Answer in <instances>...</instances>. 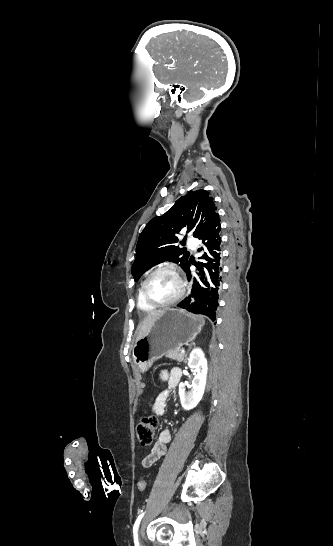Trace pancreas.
<instances>
[{"mask_svg":"<svg viewBox=\"0 0 333 546\" xmlns=\"http://www.w3.org/2000/svg\"><path fill=\"white\" fill-rule=\"evenodd\" d=\"M180 350H181L180 348L172 350L166 354V357L170 358L171 360L182 362L185 357V354L181 353Z\"/></svg>","mask_w":333,"mask_h":546,"instance_id":"pancreas-1","label":"pancreas"}]
</instances>
